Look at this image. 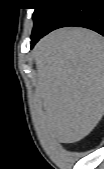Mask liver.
<instances>
[{
    "mask_svg": "<svg viewBox=\"0 0 104 169\" xmlns=\"http://www.w3.org/2000/svg\"><path fill=\"white\" fill-rule=\"evenodd\" d=\"M36 92L42 98L44 133L74 143L104 114V39L85 28H63L34 48Z\"/></svg>",
    "mask_w": 104,
    "mask_h": 169,
    "instance_id": "obj_1",
    "label": "liver"
}]
</instances>
